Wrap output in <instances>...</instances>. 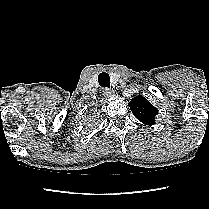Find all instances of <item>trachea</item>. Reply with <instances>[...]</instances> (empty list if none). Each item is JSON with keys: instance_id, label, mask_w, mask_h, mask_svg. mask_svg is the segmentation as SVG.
Instances as JSON below:
<instances>
[{"instance_id": "3493384b", "label": "trachea", "mask_w": 209, "mask_h": 209, "mask_svg": "<svg viewBox=\"0 0 209 209\" xmlns=\"http://www.w3.org/2000/svg\"><path fill=\"white\" fill-rule=\"evenodd\" d=\"M98 82L101 87L110 88V77L108 73L102 72L98 75Z\"/></svg>"}]
</instances>
